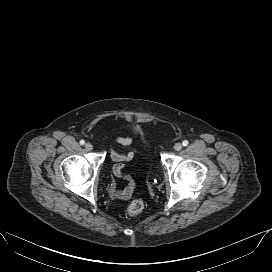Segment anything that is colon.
I'll return each instance as SVG.
<instances>
[{
  "label": "colon",
  "mask_w": 272,
  "mask_h": 272,
  "mask_svg": "<svg viewBox=\"0 0 272 272\" xmlns=\"http://www.w3.org/2000/svg\"><path fill=\"white\" fill-rule=\"evenodd\" d=\"M143 209L144 203L139 199H135L129 204L127 211L130 216H136L140 214Z\"/></svg>",
  "instance_id": "5ec220e1"
}]
</instances>
